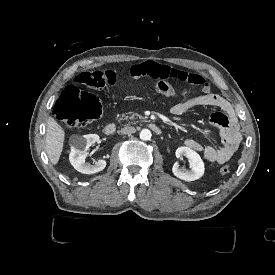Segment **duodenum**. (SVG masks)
<instances>
[{"label": "duodenum", "mask_w": 275, "mask_h": 275, "mask_svg": "<svg viewBox=\"0 0 275 275\" xmlns=\"http://www.w3.org/2000/svg\"><path fill=\"white\" fill-rule=\"evenodd\" d=\"M149 128L156 135H161L162 134V129L157 124H150ZM103 132L107 136L114 135L115 132H116V125L113 124V123H109V124L105 125V127L103 128Z\"/></svg>", "instance_id": "1"}]
</instances>
